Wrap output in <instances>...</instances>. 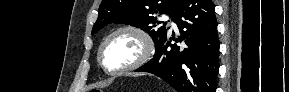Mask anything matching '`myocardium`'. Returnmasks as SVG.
<instances>
[{
	"label": "myocardium",
	"mask_w": 289,
	"mask_h": 92,
	"mask_svg": "<svg viewBox=\"0 0 289 92\" xmlns=\"http://www.w3.org/2000/svg\"><path fill=\"white\" fill-rule=\"evenodd\" d=\"M121 33H129L133 36H135L141 45V53L139 55V57L130 65L125 66L123 68L120 69H116V70H110L108 69L104 63H103V51L106 47V45L108 44V42L115 37L118 34ZM155 52V45H154V41L152 39V37L150 36V34L144 30L143 28L136 26V25H123L120 26L116 29H114L113 31H111L101 42L99 49H98V53H97V60L98 63L100 65V67L107 73L110 75H120V74H124L130 71H134L140 67H142L143 65H145L148 61H150V59L153 57Z\"/></svg>",
	"instance_id": "myocardium-1"
}]
</instances>
